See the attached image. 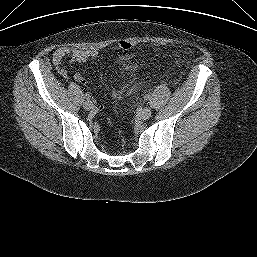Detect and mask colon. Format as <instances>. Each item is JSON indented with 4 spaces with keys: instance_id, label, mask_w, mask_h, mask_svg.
Returning a JSON list of instances; mask_svg holds the SVG:
<instances>
[{
    "instance_id": "obj_1",
    "label": "colon",
    "mask_w": 257,
    "mask_h": 257,
    "mask_svg": "<svg viewBox=\"0 0 257 257\" xmlns=\"http://www.w3.org/2000/svg\"><path fill=\"white\" fill-rule=\"evenodd\" d=\"M117 47L120 50H130L133 48V43L129 40L123 39L117 43Z\"/></svg>"
}]
</instances>
